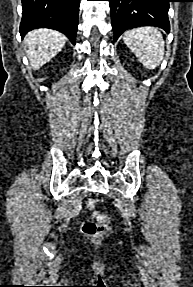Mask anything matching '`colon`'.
<instances>
[{
    "label": "colon",
    "instance_id": "obj_1",
    "mask_svg": "<svg viewBox=\"0 0 193 287\" xmlns=\"http://www.w3.org/2000/svg\"><path fill=\"white\" fill-rule=\"evenodd\" d=\"M86 206L93 214L90 220L82 224V232L91 238L101 237L108 228L109 217L106 213L96 210L92 200H88Z\"/></svg>",
    "mask_w": 193,
    "mask_h": 287
}]
</instances>
